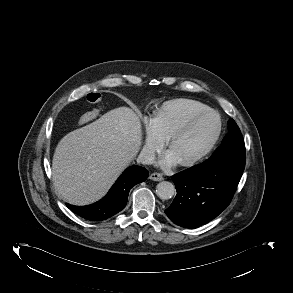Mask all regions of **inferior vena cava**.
I'll return each mask as SVG.
<instances>
[{
    "mask_svg": "<svg viewBox=\"0 0 293 293\" xmlns=\"http://www.w3.org/2000/svg\"><path fill=\"white\" fill-rule=\"evenodd\" d=\"M137 162L144 165H151L155 162V152L149 148H143L140 152Z\"/></svg>",
    "mask_w": 293,
    "mask_h": 293,
    "instance_id": "obj_1",
    "label": "inferior vena cava"
}]
</instances>
